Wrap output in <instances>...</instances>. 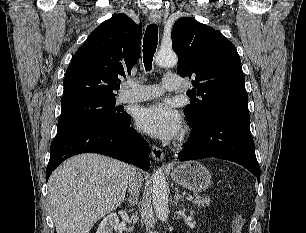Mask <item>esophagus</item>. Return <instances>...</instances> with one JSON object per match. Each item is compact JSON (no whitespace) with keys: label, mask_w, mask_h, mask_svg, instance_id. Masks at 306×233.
<instances>
[{"label":"esophagus","mask_w":306,"mask_h":233,"mask_svg":"<svg viewBox=\"0 0 306 233\" xmlns=\"http://www.w3.org/2000/svg\"><path fill=\"white\" fill-rule=\"evenodd\" d=\"M149 20L153 24H157V25L160 24L161 17H160L159 12L156 11V10L151 11L150 16H149ZM151 154H152V157L154 158V160H156V161H162L164 159V153H163L162 149L155 146V145L151 146Z\"/></svg>","instance_id":"esophagus-1"}]
</instances>
